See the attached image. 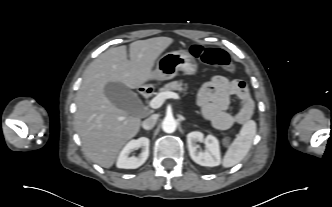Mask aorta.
I'll return each mask as SVG.
<instances>
[{
  "label": "aorta",
  "instance_id": "1",
  "mask_svg": "<svg viewBox=\"0 0 332 207\" xmlns=\"http://www.w3.org/2000/svg\"><path fill=\"white\" fill-rule=\"evenodd\" d=\"M177 128V122L173 117H166L162 122V129L166 133H173Z\"/></svg>",
  "mask_w": 332,
  "mask_h": 207
}]
</instances>
